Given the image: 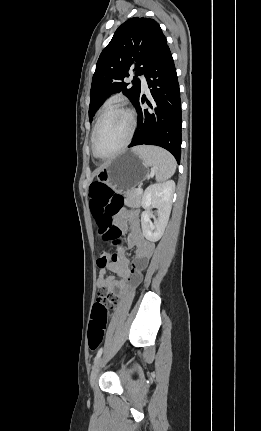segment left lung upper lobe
I'll use <instances>...</instances> for the list:
<instances>
[{
    "label": "left lung upper lobe",
    "instance_id": "obj_1",
    "mask_svg": "<svg viewBox=\"0 0 261 431\" xmlns=\"http://www.w3.org/2000/svg\"><path fill=\"white\" fill-rule=\"evenodd\" d=\"M166 42L159 24L151 18H131L116 30L96 64L90 92V120L113 93L122 91L135 104L140 96V81L134 77L132 86L126 83L128 70L134 68L136 76L145 74Z\"/></svg>",
    "mask_w": 261,
    "mask_h": 431
}]
</instances>
